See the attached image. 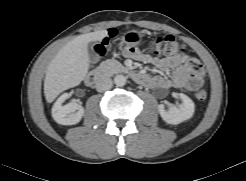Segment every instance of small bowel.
<instances>
[{"instance_id":"c3829d8e","label":"small bowel","mask_w":246,"mask_h":181,"mask_svg":"<svg viewBox=\"0 0 246 181\" xmlns=\"http://www.w3.org/2000/svg\"><path fill=\"white\" fill-rule=\"evenodd\" d=\"M123 55L135 60L153 63L157 68L170 73L168 77L161 75L149 77L148 83L145 84L149 87H176L193 90L203 82V73L198 76L190 68L191 62L196 59L184 53H178L162 59H153L140 52L136 47L127 46L123 49Z\"/></svg>"}]
</instances>
